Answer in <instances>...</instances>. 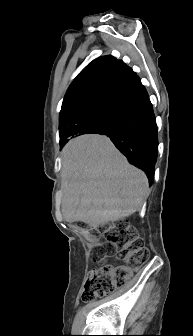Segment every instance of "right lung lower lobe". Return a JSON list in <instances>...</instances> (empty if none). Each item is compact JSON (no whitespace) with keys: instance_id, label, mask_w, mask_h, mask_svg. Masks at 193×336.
<instances>
[{"instance_id":"right-lung-lower-lobe-1","label":"right lung lower lobe","mask_w":193,"mask_h":336,"mask_svg":"<svg viewBox=\"0 0 193 336\" xmlns=\"http://www.w3.org/2000/svg\"><path fill=\"white\" fill-rule=\"evenodd\" d=\"M98 134L108 136L130 163L154 181L158 155L157 126L152 104L137 76L121 94Z\"/></svg>"}]
</instances>
